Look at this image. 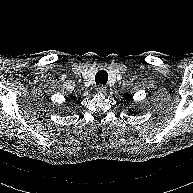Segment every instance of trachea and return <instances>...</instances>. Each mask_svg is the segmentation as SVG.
I'll return each mask as SVG.
<instances>
[{"label": "trachea", "mask_w": 193, "mask_h": 193, "mask_svg": "<svg viewBox=\"0 0 193 193\" xmlns=\"http://www.w3.org/2000/svg\"><path fill=\"white\" fill-rule=\"evenodd\" d=\"M96 84L106 85L108 81V73L104 70L98 71L95 75Z\"/></svg>", "instance_id": "1"}]
</instances>
